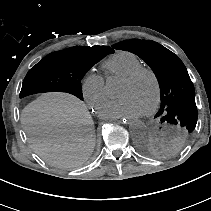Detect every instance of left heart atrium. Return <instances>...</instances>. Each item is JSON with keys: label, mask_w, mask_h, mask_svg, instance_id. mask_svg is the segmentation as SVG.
Returning a JSON list of instances; mask_svg holds the SVG:
<instances>
[{"label": "left heart atrium", "mask_w": 211, "mask_h": 211, "mask_svg": "<svg viewBox=\"0 0 211 211\" xmlns=\"http://www.w3.org/2000/svg\"><path fill=\"white\" fill-rule=\"evenodd\" d=\"M141 107L129 96H122L107 102L100 111L105 119L137 117L143 114Z\"/></svg>", "instance_id": "39dd6f15"}]
</instances>
